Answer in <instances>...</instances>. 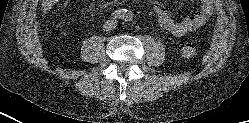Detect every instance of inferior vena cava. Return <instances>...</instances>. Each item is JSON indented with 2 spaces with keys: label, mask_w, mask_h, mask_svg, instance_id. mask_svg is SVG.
I'll list each match as a JSON object with an SVG mask.
<instances>
[{
  "label": "inferior vena cava",
  "mask_w": 249,
  "mask_h": 123,
  "mask_svg": "<svg viewBox=\"0 0 249 123\" xmlns=\"http://www.w3.org/2000/svg\"><path fill=\"white\" fill-rule=\"evenodd\" d=\"M116 24H117L116 21L108 20L103 25V30L106 32L111 31L112 29H114L116 27Z\"/></svg>",
  "instance_id": "1"
}]
</instances>
